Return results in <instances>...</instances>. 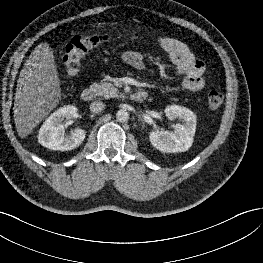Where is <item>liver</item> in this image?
Returning a JSON list of instances; mask_svg holds the SVG:
<instances>
[{"label":"liver","mask_w":263,"mask_h":263,"mask_svg":"<svg viewBox=\"0 0 263 263\" xmlns=\"http://www.w3.org/2000/svg\"><path fill=\"white\" fill-rule=\"evenodd\" d=\"M54 52L39 44L20 72L14 100V121L19 137L25 138L57 106L61 98Z\"/></svg>","instance_id":"liver-1"}]
</instances>
